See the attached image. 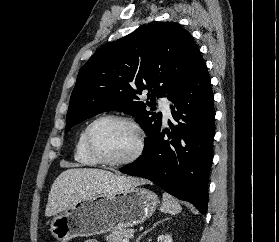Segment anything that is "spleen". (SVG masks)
<instances>
[{"mask_svg": "<svg viewBox=\"0 0 279 242\" xmlns=\"http://www.w3.org/2000/svg\"><path fill=\"white\" fill-rule=\"evenodd\" d=\"M182 210L180 204L176 201L174 197L168 193H163V202L161 206V211L169 214H176Z\"/></svg>", "mask_w": 279, "mask_h": 242, "instance_id": "spleen-1", "label": "spleen"}]
</instances>
